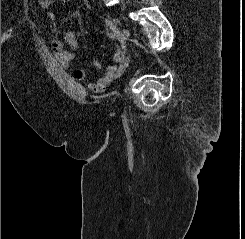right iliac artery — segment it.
I'll return each mask as SVG.
<instances>
[{"mask_svg": "<svg viewBox=\"0 0 245 239\" xmlns=\"http://www.w3.org/2000/svg\"><path fill=\"white\" fill-rule=\"evenodd\" d=\"M107 35L108 37L111 39V40H116V36L114 33L110 32V31H107Z\"/></svg>", "mask_w": 245, "mask_h": 239, "instance_id": "1", "label": "right iliac artery"}]
</instances>
